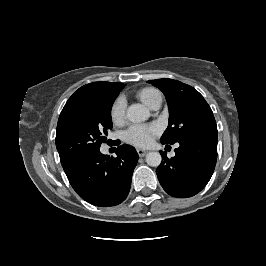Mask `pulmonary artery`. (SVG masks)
Masks as SVG:
<instances>
[{
    "label": "pulmonary artery",
    "mask_w": 266,
    "mask_h": 266,
    "mask_svg": "<svg viewBox=\"0 0 266 266\" xmlns=\"http://www.w3.org/2000/svg\"><path fill=\"white\" fill-rule=\"evenodd\" d=\"M160 104H161V101L155 103L151 108H152L153 110H156V109H158V108L160 107Z\"/></svg>",
    "instance_id": "1"
}]
</instances>
